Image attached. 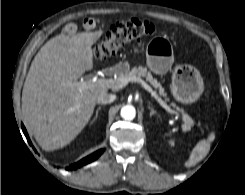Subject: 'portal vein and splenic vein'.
<instances>
[{
	"label": "portal vein and splenic vein",
	"mask_w": 245,
	"mask_h": 195,
	"mask_svg": "<svg viewBox=\"0 0 245 195\" xmlns=\"http://www.w3.org/2000/svg\"><path fill=\"white\" fill-rule=\"evenodd\" d=\"M128 82H136L141 84V86L146 89L148 92L152 94V96L159 102V104L170 114L175 115L177 118L180 117L179 113L170 108L154 91L153 89L140 77H130L128 79H123L120 82H117L114 79H96L92 78L88 81L81 80L80 84L83 86H100V87H107V88H123L125 87Z\"/></svg>",
	"instance_id": "1"
}]
</instances>
